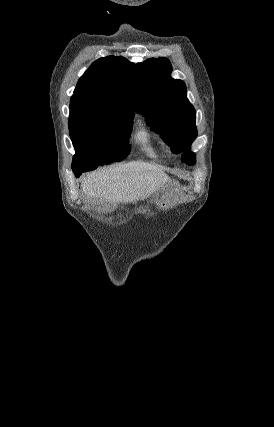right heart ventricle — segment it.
<instances>
[{
  "instance_id": "right-heart-ventricle-1",
  "label": "right heart ventricle",
  "mask_w": 274,
  "mask_h": 427,
  "mask_svg": "<svg viewBox=\"0 0 274 427\" xmlns=\"http://www.w3.org/2000/svg\"><path fill=\"white\" fill-rule=\"evenodd\" d=\"M137 151L147 158L157 160L162 154V147L156 137L151 133L140 130L133 138Z\"/></svg>"
}]
</instances>
